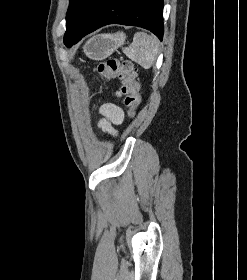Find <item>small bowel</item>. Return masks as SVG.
<instances>
[{"label":"small bowel","instance_id":"obj_1","mask_svg":"<svg viewBox=\"0 0 247 280\" xmlns=\"http://www.w3.org/2000/svg\"><path fill=\"white\" fill-rule=\"evenodd\" d=\"M100 113L103 118L99 122L101 129L111 135H115V125H120L124 119L123 110L116 104L107 103L101 106Z\"/></svg>","mask_w":247,"mask_h":280}]
</instances>
